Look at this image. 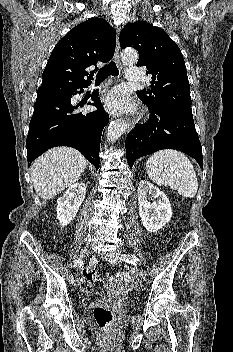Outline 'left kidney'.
<instances>
[{"label":"left kidney","instance_id":"1","mask_svg":"<svg viewBox=\"0 0 233 352\" xmlns=\"http://www.w3.org/2000/svg\"><path fill=\"white\" fill-rule=\"evenodd\" d=\"M139 216L143 226L149 232H157L172 217V209L167 196L149 181L142 180L138 190ZM149 196L155 200L149 201Z\"/></svg>","mask_w":233,"mask_h":352}]
</instances>
